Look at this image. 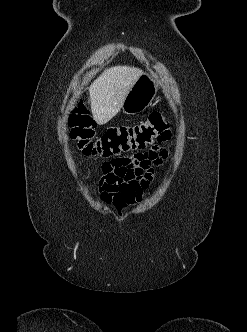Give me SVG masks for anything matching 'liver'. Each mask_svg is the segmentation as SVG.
I'll return each mask as SVG.
<instances>
[{
    "label": "liver",
    "mask_w": 247,
    "mask_h": 332,
    "mask_svg": "<svg viewBox=\"0 0 247 332\" xmlns=\"http://www.w3.org/2000/svg\"><path fill=\"white\" fill-rule=\"evenodd\" d=\"M142 70L130 66L106 69L90 86L93 119L99 125L109 122L120 111L123 101Z\"/></svg>",
    "instance_id": "1"
}]
</instances>
